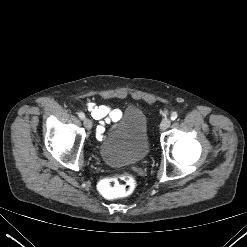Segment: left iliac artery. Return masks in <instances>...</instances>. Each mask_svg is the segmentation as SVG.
<instances>
[{"mask_svg": "<svg viewBox=\"0 0 247 247\" xmlns=\"http://www.w3.org/2000/svg\"><path fill=\"white\" fill-rule=\"evenodd\" d=\"M178 117V114H177V112H173L172 114H171V120H176V118Z\"/></svg>", "mask_w": 247, "mask_h": 247, "instance_id": "left-iliac-artery-1", "label": "left iliac artery"}]
</instances>
